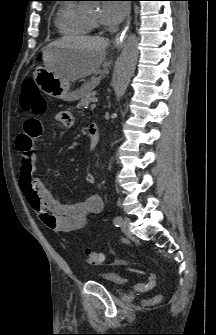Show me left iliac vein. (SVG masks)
<instances>
[{
	"instance_id": "4c4485c4",
	"label": "left iliac vein",
	"mask_w": 216,
	"mask_h": 335,
	"mask_svg": "<svg viewBox=\"0 0 216 335\" xmlns=\"http://www.w3.org/2000/svg\"><path fill=\"white\" fill-rule=\"evenodd\" d=\"M129 224H130V219L128 217H124L120 223L121 229L123 231L127 230Z\"/></svg>"
}]
</instances>
